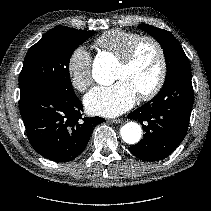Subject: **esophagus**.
I'll list each match as a JSON object with an SVG mask.
<instances>
[{
  "mask_svg": "<svg viewBox=\"0 0 211 211\" xmlns=\"http://www.w3.org/2000/svg\"><path fill=\"white\" fill-rule=\"evenodd\" d=\"M109 121H110L111 123H114V124H119V123H121V122H122V120H121V119H119V118L110 119Z\"/></svg>",
  "mask_w": 211,
  "mask_h": 211,
  "instance_id": "esophagus-1",
  "label": "esophagus"
}]
</instances>
